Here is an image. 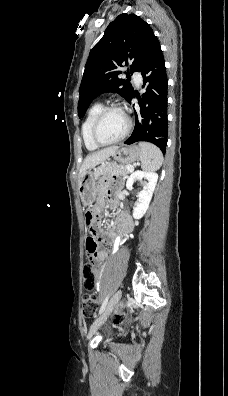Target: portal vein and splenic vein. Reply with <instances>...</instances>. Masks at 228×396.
Masks as SVG:
<instances>
[{
    "instance_id": "1",
    "label": "portal vein and splenic vein",
    "mask_w": 228,
    "mask_h": 396,
    "mask_svg": "<svg viewBox=\"0 0 228 396\" xmlns=\"http://www.w3.org/2000/svg\"><path fill=\"white\" fill-rule=\"evenodd\" d=\"M126 169H127L128 171H133V167H132V166H126Z\"/></svg>"
}]
</instances>
